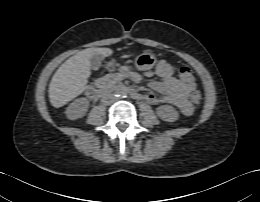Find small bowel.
Returning a JSON list of instances; mask_svg holds the SVG:
<instances>
[{"label": "small bowel", "instance_id": "obj_1", "mask_svg": "<svg viewBox=\"0 0 260 202\" xmlns=\"http://www.w3.org/2000/svg\"><path fill=\"white\" fill-rule=\"evenodd\" d=\"M173 74V67L168 61H159L155 70L146 72V75H157L160 78L158 81L151 82L149 87L152 91L159 93L161 96H157L151 92H145L139 93L140 98L138 99H143L154 105L166 102L176 106L183 115L189 116L193 113V107L188 101L187 95L195 89V83H182L177 80ZM124 78H128L136 83L141 81L140 74L136 72H115L100 78L97 83L101 81L116 83Z\"/></svg>", "mask_w": 260, "mask_h": 202}]
</instances>
